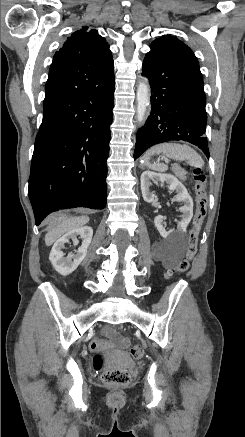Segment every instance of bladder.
Here are the masks:
<instances>
[{
    "label": "bladder",
    "mask_w": 245,
    "mask_h": 437,
    "mask_svg": "<svg viewBox=\"0 0 245 437\" xmlns=\"http://www.w3.org/2000/svg\"><path fill=\"white\" fill-rule=\"evenodd\" d=\"M112 363L118 367H126L132 364L128 355L122 352H113L111 356Z\"/></svg>",
    "instance_id": "1"
}]
</instances>
